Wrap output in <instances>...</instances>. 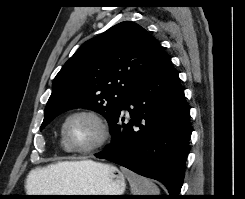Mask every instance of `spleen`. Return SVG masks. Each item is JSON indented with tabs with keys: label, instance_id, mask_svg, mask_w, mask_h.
I'll list each match as a JSON object with an SVG mask.
<instances>
[{
	"label": "spleen",
	"instance_id": "spleen-1",
	"mask_svg": "<svg viewBox=\"0 0 245 199\" xmlns=\"http://www.w3.org/2000/svg\"><path fill=\"white\" fill-rule=\"evenodd\" d=\"M121 170L129 181L132 195H159V188L151 180L126 168H121Z\"/></svg>",
	"mask_w": 245,
	"mask_h": 199
}]
</instances>
